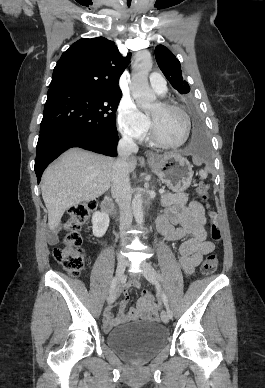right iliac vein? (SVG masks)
<instances>
[{
	"instance_id": "1",
	"label": "right iliac vein",
	"mask_w": 265,
	"mask_h": 388,
	"mask_svg": "<svg viewBox=\"0 0 265 388\" xmlns=\"http://www.w3.org/2000/svg\"><path fill=\"white\" fill-rule=\"evenodd\" d=\"M126 268V261L123 258H120L117 263V268H116V276L117 279L120 280L124 271ZM116 298V293L113 291L110 293V295L107 298V304H112L115 301Z\"/></svg>"
}]
</instances>
